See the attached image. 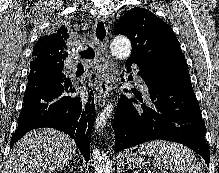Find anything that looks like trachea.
Segmentation results:
<instances>
[{
  "mask_svg": "<svg viewBox=\"0 0 219 173\" xmlns=\"http://www.w3.org/2000/svg\"><path fill=\"white\" fill-rule=\"evenodd\" d=\"M79 54H80V58H81L82 60H83V59H94V57H95V51H94V49L91 48V47H88L87 50L82 51V52H80ZM78 67H79V68H80V67L83 68L82 63H80V64L78 65Z\"/></svg>",
  "mask_w": 219,
  "mask_h": 173,
  "instance_id": "3493384b",
  "label": "trachea"
}]
</instances>
